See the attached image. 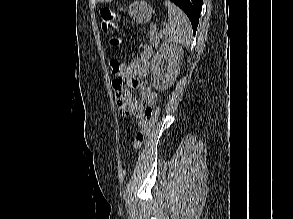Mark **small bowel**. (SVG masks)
I'll return each instance as SVG.
<instances>
[{
  "label": "small bowel",
  "instance_id": "obj_1",
  "mask_svg": "<svg viewBox=\"0 0 293 219\" xmlns=\"http://www.w3.org/2000/svg\"><path fill=\"white\" fill-rule=\"evenodd\" d=\"M148 49L141 57L132 60L131 64L122 72L121 86L113 87L117 96L118 108L124 116H134L138 120L141 128L150 121V110L158 101V94L152 89L148 81L144 78L149 72ZM132 89H137L141 97L135 98L131 94Z\"/></svg>",
  "mask_w": 293,
  "mask_h": 219
}]
</instances>
